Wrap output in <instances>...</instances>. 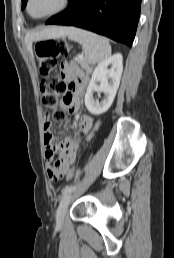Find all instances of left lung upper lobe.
<instances>
[{
  "label": "left lung upper lobe",
  "mask_w": 174,
  "mask_h": 258,
  "mask_svg": "<svg viewBox=\"0 0 174 258\" xmlns=\"http://www.w3.org/2000/svg\"><path fill=\"white\" fill-rule=\"evenodd\" d=\"M26 3H27V0H22V9H24V8H25Z\"/></svg>",
  "instance_id": "1"
}]
</instances>
